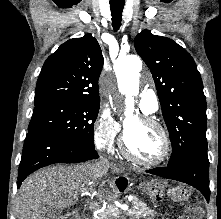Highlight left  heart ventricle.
Returning <instances> with one entry per match:
<instances>
[{"label":"left heart ventricle","instance_id":"1","mask_svg":"<svg viewBox=\"0 0 221 219\" xmlns=\"http://www.w3.org/2000/svg\"><path fill=\"white\" fill-rule=\"evenodd\" d=\"M124 138L129 151L145 160L158 158L163 149L159 131L143 124L138 118L129 119L125 123Z\"/></svg>","mask_w":221,"mask_h":219}]
</instances>
